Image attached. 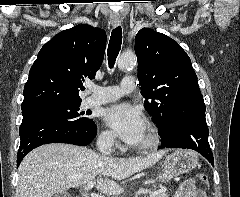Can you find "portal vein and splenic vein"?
<instances>
[{
    "label": "portal vein and splenic vein",
    "mask_w": 240,
    "mask_h": 197,
    "mask_svg": "<svg viewBox=\"0 0 240 197\" xmlns=\"http://www.w3.org/2000/svg\"><path fill=\"white\" fill-rule=\"evenodd\" d=\"M94 185H95V182H93V181L88 182V183H87V186H86L87 190L92 189ZM152 194H156V193H152ZM90 196H91V197H102L101 195L96 194V193H93V192L90 193Z\"/></svg>",
    "instance_id": "1"
}]
</instances>
